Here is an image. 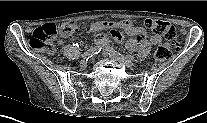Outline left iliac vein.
<instances>
[{"label": "left iliac vein", "mask_w": 207, "mask_h": 123, "mask_svg": "<svg viewBox=\"0 0 207 123\" xmlns=\"http://www.w3.org/2000/svg\"><path fill=\"white\" fill-rule=\"evenodd\" d=\"M109 56L114 61L119 62V63L125 65L128 68H132L134 66V62L132 60H127V59H125V58H123L121 56L114 55L111 52H110Z\"/></svg>", "instance_id": "4c4485c4"}]
</instances>
